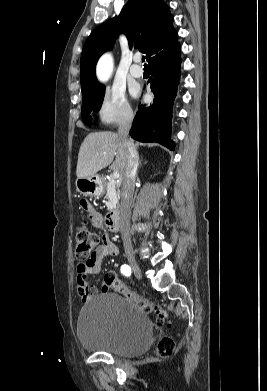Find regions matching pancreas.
I'll use <instances>...</instances> for the list:
<instances>
[{
	"mask_svg": "<svg viewBox=\"0 0 267 391\" xmlns=\"http://www.w3.org/2000/svg\"><path fill=\"white\" fill-rule=\"evenodd\" d=\"M102 181L106 188L107 197L111 201V208H115L120 197V182H117L116 179H113L112 177H110L108 180L103 177Z\"/></svg>",
	"mask_w": 267,
	"mask_h": 391,
	"instance_id": "pancreas-1",
	"label": "pancreas"
}]
</instances>
